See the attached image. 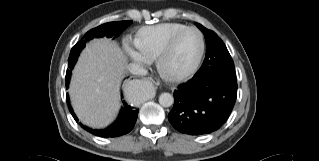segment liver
Returning a JSON list of instances; mask_svg holds the SVG:
<instances>
[{
  "label": "liver",
  "mask_w": 319,
  "mask_h": 161,
  "mask_svg": "<svg viewBox=\"0 0 319 161\" xmlns=\"http://www.w3.org/2000/svg\"><path fill=\"white\" fill-rule=\"evenodd\" d=\"M127 68L123 51L109 39H94L83 50L69 88L74 111L86 125L103 128L120 107V82Z\"/></svg>",
  "instance_id": "obj_1"
}]
</instances>
